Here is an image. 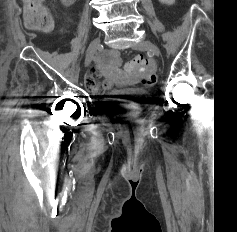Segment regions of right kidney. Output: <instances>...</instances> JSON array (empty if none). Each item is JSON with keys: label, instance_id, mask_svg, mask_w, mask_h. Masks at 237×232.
<instances>
[{"label": "right kidney", "instance_id": "obj_1", "mask_svg": "<svg viewBox=\"0 0 237 232\" xmlns=\"http://www.w3.org/2000/svg\"><path fill=\"white\" fill-rule=\"evenodd\" d=\"M66 7L71 6L76 0H60Z\"/></svg>", "mask_w": 237, "mask_h": 232}]
</instances>
